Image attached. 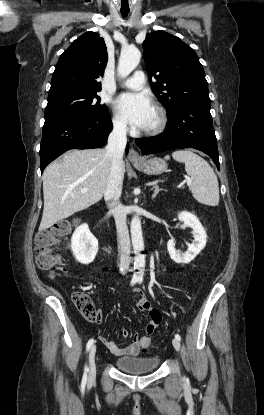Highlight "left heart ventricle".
I'll list each match as a JSON object with an SVG mask.
<instances>
[{
    "instance_id": "left-heart-ventricle-1",
    "label": "left heart ventricle",
    "mask_w": 264,
    "mask_h": 415,
    "mask_svg": "<svg viewBox=\"0 0 264 415\" xmlns=\"http://www.w3.org/2000/svg\"><path fill=\"white\" fill-rule=\"evenodd\" d=\"M157 122V113L154 110L144 129L153 127Z\"/></svg>"
}]
</instances>
